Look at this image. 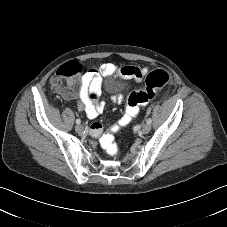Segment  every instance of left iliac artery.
Instances as JSON below:
<instances>
[{"mask_svg": "<svg viewBox=\"0 0 227 227\" xmlns=\"http://www.w3.org/2000/svg\"><path fill=\"white\" fill-rule=\"evenodd\" d=\"M151 123H152V119L149 118V119L147 120V124H151Z\"/></svg>", "mask_w": 227, "mask_h": 227, "instance_id": "44dca946", "label": "left iliac artery"}]
</instances>
